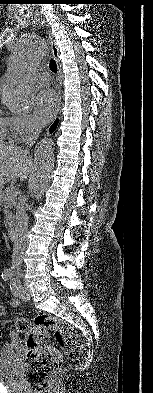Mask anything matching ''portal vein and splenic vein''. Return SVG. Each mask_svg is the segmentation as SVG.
<instances>
[{
	"label": "portal vein and splenic vein",
	"mask_w": 153,
	"mask_h": 393,
	"mask_svg": "<svg viewBox=\"0 0 153 393\" xmlns=\"http://www.w3.org/2000/svg\"><path fill=\"white\" fill-rule=\"evenodd\" d=\"M10 192L11 193H18V187H16V186H13L11 189H10Z\"/></svg>",
	"instance_id": "1"
}]
</instances>
